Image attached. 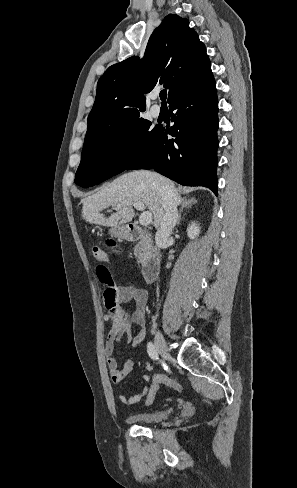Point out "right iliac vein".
Wrapping results in <instances>:
<instances>
[{
    "mask_svg": "<svg viewBox=\"0 0 297 488\" xmlns=\"http://www.w3.org/2000/svg\"><path fill=\"white\" fill-rule=\"evenodd\" d=\"M155 346L157 351L165 358H170V354L167 348L166 341L160 332V330H157L155 332Z\"/></svg>",
    "mask_w": 297,
    "mask_h": 488,
    "instance_id": "1",
    "label": "right iliac vein"
}]
</instances>
